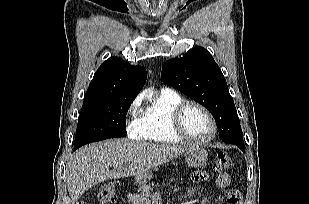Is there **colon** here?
<instances>
[{"instance_id":"obj_1","label":"colon","mask_w":309,"mask_h":204,"mask_svg":"<svg viewBox=\"0 0 309 204\" xmlns=\"http://www.w3.org/2000/svg\"><path fill=\"white\" fill-rule=\"evenodd\" d=\"M233 166V159L226 152H219L214 160L213 169L217 173H223ZM99 201L103 204L115 202L117 199V189L114 183H106L99 192ZM229 204L240 203V197L234 196L228 200ZM83 204V203H78Z\"/></svg>"}]
</instances>
